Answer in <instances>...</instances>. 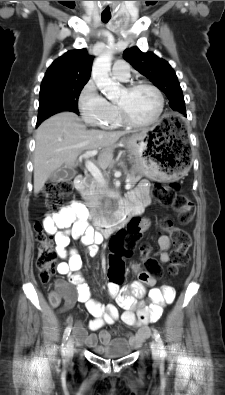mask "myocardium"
Segmentation results:
<instances>
[{
    "label": "myocardium",
    "mask_w": 225,
    "mask_h": 395,
    "mask_svg": "<svg viewBox=\"0 0 225 395\" xmlns=\"http://www.w3.org/2000/svg\"><path fill=\"white\" fill-rule=\"evenodd\" d=\"M139 88H148V89L152 90L157 97L158 108H157L156 114L154 115V117L152 119H150L149 121H146V122H136V121L129 118V116L127 115V113L122 105H120L119 103H116V107L118 110L120 120L124 125L129 126V127H134V128L150 127L158 122V120L160 119V117L163 113L164 98H163L162 92L159 90L158 87H156L155 85H153L151 83L145 82V81L131 83V84L127 85L124 89L128 92H133Z\"/></svg>",
    "instance_id": "1"
}]
</instances>
